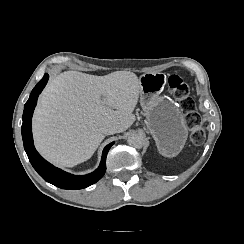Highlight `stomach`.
Segmentation results:
<instances>
[{"label":"stomach","instance_id":"0dacf381","mask_svg":"<svg viewBox=\"0 0 244 244\" xmlns=\"http://www.w3.org/2000/svg\"><path fill=\"white\" fill-rule=\"evenodd\" d=\"M140 102L147 128L160 155L176 157L188 138V126L180 105L163 93L167 79L163 73L151 72L140 77Z\"/></svg>","mask_w":244,"mask_h":244}]
</instances>
